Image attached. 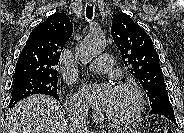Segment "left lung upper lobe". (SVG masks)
Returning a JSON list of instances; mask_svg holds the SVG:
<instances>
[{"label": "left lung upper lobe", "instance_id": "5c2ea615", "mask_svg": "<svg viewBox=\"0 0 184 133\" xmlns=\"http://www.w3.org/2000/svg\"><path fill=\"white\" fill-rule=\"evenodd\" d=\"M111 34L127 70L149 97L150 106L170 104L159 56L149 35L125 13L113 17Z\"/></svg>", "mask_w": 184, "mask_h": 133}]
</instances>
